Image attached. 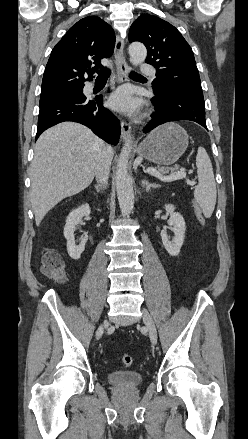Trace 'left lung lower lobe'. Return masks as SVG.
Masks as SVG:
<instances>
[{
	"label": "left lung lower lobe",
	"instance_id": "obj_1",
	"mask_svg": "<svg viewBox=\"0 0 248 439\" xmlns=\"http://www.w3.org/2000/svg\"><path fill=\"white\" fill-rule=\"evenodd\" d=\"M151 101L155 106V112L144 127V133L166 122L178 120L194 121L207 129L204 98L166 91L160 94L155 93Z\"/></svg>",
	"mask_w": 248,
	"mask_h": 439
}]
</instances>
